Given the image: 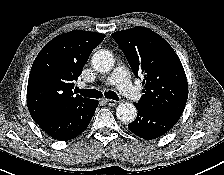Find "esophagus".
Wrapping results in <instances>:
<instances>
[{
    "instance_id": "34e87169",
    "label": "esophagus",
    "mask_w": 224,
    "mask_h": 175,
    "mask_svg": "<svg viewBox=\"0 0 224 175\" xmlns=\"http://www.w3.org/2000/svg\"><path fill=\"white\" fill-rule=\"evenodd\" d=\"M104 101L109 106H115L117 104V101L113 99H104Z\"/></svg>"
}]
</instances>
